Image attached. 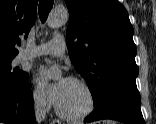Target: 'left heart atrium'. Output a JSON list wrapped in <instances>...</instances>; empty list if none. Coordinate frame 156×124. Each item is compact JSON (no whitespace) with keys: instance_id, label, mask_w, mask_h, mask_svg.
Returning a JSON list of instances; mask_svg holds the SVG:
<instances>
[{"instance_id":"left-heart-atrium-1","label":"left heart atrium","mask_w":156,"mask_h":124,"mask_svg":"<svg viewBox=\"0 0 156 124\" xmlns=\"http://www.w3.org/2000/svg\"><path fill=\"white\" fill-rule=\"evenodd\" d=\"M39 76L41 78V80H43L44 82L47 81V78H48V71L47 69L45 68H42L40 71H39ZM68 79H61L59 81H57L56 83L50 85V90H51V94L55 100V102L57 103V101L59 100L61 94H62V91L65 87V84L67 82Z\"/></svg>"}]
</instances>
